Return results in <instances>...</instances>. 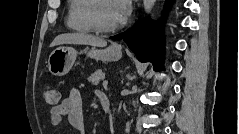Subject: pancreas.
<instances>
[{
	"label": "pancreas",
	"mask_w": 239,
	"mask_h": 134,
	"mask_svg": "<svg viewBox=\"0 0 239 134\" xmlns=\"http://www.w3.org/2000/svg\"><path fill=\"white\" fill-rule=\"evenodd\" d=\"M105 77V73L99 69L96 70L88 77V81L91 82L93 85H98L101 80Z\"/></svg>",
	"instance_id": "1"
}]
</instances>
